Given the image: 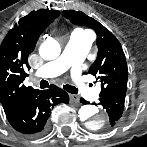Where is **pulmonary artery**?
<instances>
[{
	"mask_svg": "<svg viewBox=\"0 0 147 147\" xmlns=\"http://www.w3.org/2000/svg\"><path fill=\"white\" fill-rule=\"evenodd\" d=\"M91 42L92 38L89 34L82 30L74 31L62 55L57 60L45 64L40 69L39 75L41 77H54L64 73L68 69H71L73 74H78L80 64L88 54ZM78 90L83 97L89 100H94L97 97L96 91L85 85L83 81H79Z\"/></svg>",
	"mask_w": 147,
	"mask_h": 147,
	"instance_id": "pulmonary-artery-1",
	"label": "pulmonary artery"
}]
</instances>
